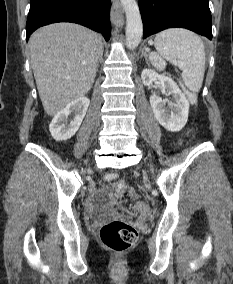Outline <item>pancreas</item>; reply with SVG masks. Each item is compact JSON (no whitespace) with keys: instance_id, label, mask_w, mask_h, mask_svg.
<instances>
[{"instance_id":"pancreas-1","label":"pancreas","mask_w":233,"mask_h":284,"mask_svg":"<svg viewBox=\"0 0 233 284\" xmlns=\"http://www.w3.org/2000/svg\"><path fill=\"white\" fill-rule=\"evenodd\" d=\"M154 65L157 67V68H160V69H163L165 68V62L159 57L157 56L156 57V60L154 61Z\"/></svg>"}]
</instances>
